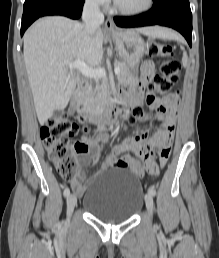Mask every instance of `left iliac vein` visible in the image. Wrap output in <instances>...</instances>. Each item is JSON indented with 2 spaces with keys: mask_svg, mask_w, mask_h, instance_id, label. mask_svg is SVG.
Returning <instances> with one entry per match:
<instances>
[{
  "mask_svg": "<svg viewBox=\"0 0 219 258\" xmlns=\"http://www.w3.org/2000/svg\"><path fill=\"white\" fill-rule=\"evenodd\" d=\"M145 203H146V208H147L148 214L152 215L153 205H154L153 195H151L150 193H147L145 195Z\"/></svg>",
  "mask_w": 219,
  "mask_h": 258,
  "instance_id": "obj_1",
  "label": "left iliac vein"
}]
</instances>
